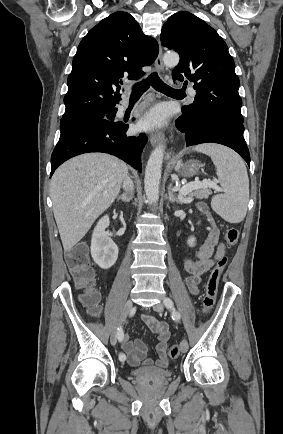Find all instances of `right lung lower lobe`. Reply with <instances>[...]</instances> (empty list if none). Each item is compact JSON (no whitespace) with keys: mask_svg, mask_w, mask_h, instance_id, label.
I'll list each match as a JSON object with an SVG mask.
<instances>
[{"mask_svg":"<svg viewBox=\"0 0 283 434\" xmlns=\"http://www.w3.org/2000/svg\"><path fill=\"white\" fill-rule=\"evenodd\" d=\"M117 109L108 112L107 118L88 120L61 132L51 156V176L63 162L83 153L103 152L124 160L142 172L141 153L147 142L145 134L126 135L128 125L114 122Z\"/></svg>","mask_w":283,"mask_h":434,"instance_id":"obj_1","label":"right lung lower lobe"}]
</instances>
